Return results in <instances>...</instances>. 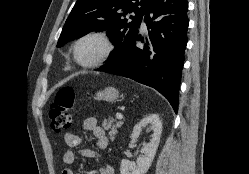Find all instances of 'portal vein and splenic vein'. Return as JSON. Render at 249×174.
Masks as SVG:
<instances>
[{
  "mask_svg": "<svg viewBox=\"0 0 249 174\" xmlns=\"http://www.w3.org/2000/svg\"><path fill=\"white\" fill-rule=\"evenodd\" d=\"M116 118L119 120L123 119V115L121 113H116Z\"/></svg>",
  "mask_w": 249,
  "mask_h": 174,
  "instance_id": "obj_1",
  "label": "portal vein and splenic vein"
}]
</instances>
